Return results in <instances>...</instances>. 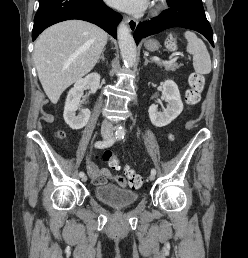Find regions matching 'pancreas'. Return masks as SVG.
<instances>
[{"mask_svg":"<svg viewBox=\"0 0 248 258\" xmlns=\"http://www.w3.org/2000/svg\"><path fill=\"white\" fill-rule=\"evenodd\" d=\"M156 63L159 66H163L167 71H175L176 69H178L180 67V65L178 63H167L164 61H156Z\"/></svg>","mask_w":248,"mask_h":258,"instance_id":"1","label":"pancreas"}]
</instances>
